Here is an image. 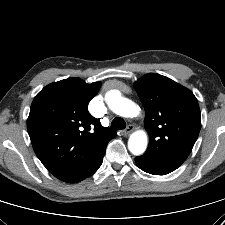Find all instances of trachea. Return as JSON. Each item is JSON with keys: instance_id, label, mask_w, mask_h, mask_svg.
<instances>
[{"instance_id": "obj_1", "label": "trachea", "mask_w": 225, "mask_h": 225, "mask_svg": "<svg viewBox=\"0 0 225 225\" xmlns=\"http://www.w3.org/2000/svg\"><path fill=\"white\" fill-rule=\"evenodd\" d=\"M125 127H126V122L120 117L114 118V120L111 123L112 130H122V129H125Z\"/></svg>"}]
</instances>
